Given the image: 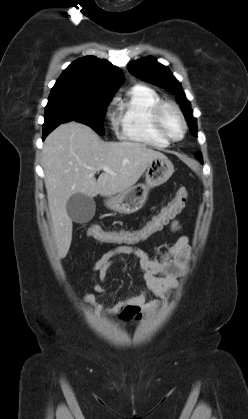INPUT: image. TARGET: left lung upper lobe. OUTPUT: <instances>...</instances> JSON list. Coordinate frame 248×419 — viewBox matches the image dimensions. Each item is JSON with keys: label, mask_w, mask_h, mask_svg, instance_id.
Returning a JSON list of instances; mask_svg holds the SVG:
<instances>
[{"label": "left lung upper lobe", "mask_w": 248, "mask_h": 419, "mask_svg": "<svg viewBox=\"0 0 248 419\" xmlns=\"http://www.w3.org/2000/svg\"><path fill=\"white\" fill-rule=\"evenodd\" d=\"M128 70L138 78L149 81L174 93L176 95V101L184 113L190 132L197 137V120L193 117L190 102L187 100L181 84L166 66L158 63L152 57H147L129 64Z\"/></svg>", "instance_id": "5c2ea615"}]
</instances>
